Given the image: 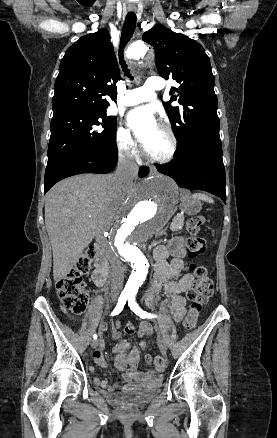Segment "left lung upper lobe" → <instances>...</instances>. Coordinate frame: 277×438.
Returning <instances> with one entry per match:
<instances>
[{
	"label": "left lung upper lobe",
	"instance_id": "left-lung-upper-lobe-1",
	"mask_svg": "<svg viewBox=\"0 0 277 438\" xmlns=\"http://www.w3.org/2000/svg\"><path fill=\"white\" fill-rule=\"evenodd\" d=\"M143 41L154 47L159 74L179 84L164 106L177 134L179 156H185L210 129L219 128L210 60L195 40L161 25L145 32ZM173 101L181 106H171Z\"/></svg>",
	"mask_w": 277,
	"mask_h": 438
}]
</instances>
